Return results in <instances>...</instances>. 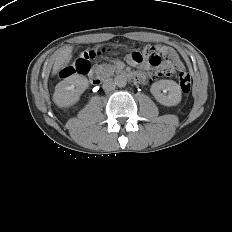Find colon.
I'll list each match as a JSON object with an SVG mask.
<instances>
[{
  "instance_id": "colon-1",
  "label": "colon",
  "mask_w": 232,
  "mask_h": 232,
  "mask_svg": "<svg viewBox=\"0 0 232 232\" xmlns=\"http://www.w3.org/2000/svg\"><path fill=\"white\" fill-rule=\"evenodd\" d=\"M97 54L98 52L93 49H87L80 52L78 57L72 64L65 66L60 71V77L66 78L75 74H86L90 68L91 61L96 57ZM143 57H145L151 65H163L170 71L178 70V68L174 64L173 58L165 53L162 46L148 47L142 52H136L132 54V58L137 62H140ZM178 79L182 92L184 94H188L191 90L190 75L185 71H179Z\"/></svg>"
}]
</instances>
